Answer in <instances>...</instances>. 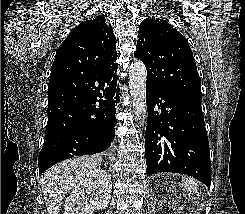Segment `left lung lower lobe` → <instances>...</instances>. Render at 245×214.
<instances>
[{"mask_svg":"<svg viewBox=\"0 0 245 214\" xmlns=\"http://www.w3.org/2000/svg\"><path fill=\"white\" fill-rule=\"evenodd\" d=\"M201 102L202 95L166 92L146 84L147 176L158 172L187 174L210 187L209 142Z\"/></svg>","mask_w":245,"mask_h":214,"instance_id":"obj_1","label":"left lung lower lobe"}]
</instances>
